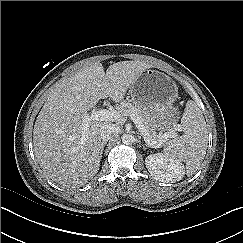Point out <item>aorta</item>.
<instances>
[{
    "label": "aorta",
    "instance_id": "762f6f07",
    "mask_svg": "<svg viewBox=\"0 0 243 243\" xmlns=\"http://www.w3.org/2000/svg\"><path fill=\"white\" fill-rule=\"evenodd\" d=\"M135 138L134 136H132L131 134H124L122 136V142L125 145H130L134 142Z\"/></svg>",
    "mask_w": 243,
    "mask_h": 243
}]
</instances>
